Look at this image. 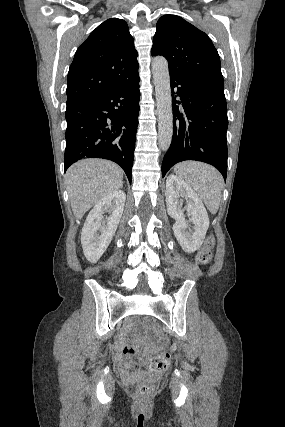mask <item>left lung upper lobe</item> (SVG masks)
<instances>
[{
	"instance_id": "obj_1",
	"label": "left lung upper lobe",
	"mask_w": 285,
	"mask_h": 427,
	"mask_svg": "<svg viewBox=\"0 0 285 427\" xmlns=\"http://www.w3.org/2000/svg\"><path fill=\"white\" fill-rule=\"evenodd\" d=\"M156 28L151 54L167 59L170 76L224 90L218 52L204 32L176 15L162 16Z\"/></svg>"
}]
</instances>
